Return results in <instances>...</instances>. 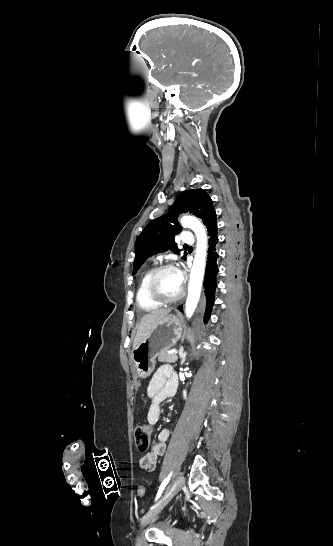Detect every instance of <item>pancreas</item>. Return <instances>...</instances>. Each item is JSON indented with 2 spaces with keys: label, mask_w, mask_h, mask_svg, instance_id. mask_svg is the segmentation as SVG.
I'll return each mask as SVG.
<instances>
[{
  "label": "pancreas",
  "mask_w": 333,
  "mask_h": 546,
  "mask_svg": "<svg viewBox=\"0 0 333 546\" xmlns=\"http://www.w3.org/2000/svg\"><path fill=\"white\" fill-rule=\"evenodd\" d=\"M177 359L178 357L176 353L161 352L158 355V360L160 362L175 363Z\"/></svg>",
  "instance_id": "obj_1"
}]
</instances>
